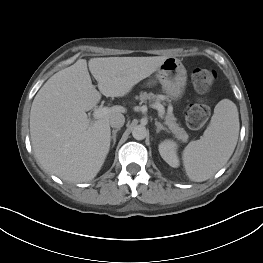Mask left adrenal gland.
Listing matches in <instances>:
<instances>
[{
  "instance_id": "a2214340",
  "label": "left adrenal gland",
  "mask_w": 263,
  "mask_h": 263,
  "mask_svg": "<svg viewBox=\"0 0 263 263\" xmlns=\"http://www.w3.org/2000/svg\"><path fill=\"white\" fill-rule=\"evenodd\" d=\"M155 125L157 127L156 132L159 133L161 130H164L166 132H169L166 127H164L160 122L155 121Z\"/></svg>"
}]
</instances>
